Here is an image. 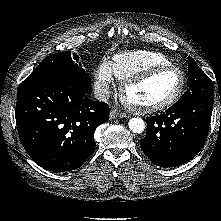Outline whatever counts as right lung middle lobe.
<instances>
[{"mask_svg": "<svg viewBox=\"0 0 221 221\" xmlns=\"http://www.w3.org/2000/svg\"><path fill=\"white\" fill-rule=\"evenodd\" d=\"M45 78H65L80 83L90 89L89 75L78 64V56L70 51L56 53L45 58L23 82H32Z\"/></svg>", "mask_w": 221, "mask_h": 221, "instance_id": "right-lung-middle-lobe-1", "label": "right lung middle lobe"}]
</instances>
